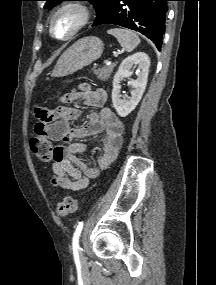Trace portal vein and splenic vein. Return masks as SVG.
Returning <instances> with one entry per match:
<instances>
[{
  "label": "portal vein and splenic vein",
  "instance_id": "18ae733b",
  "mask_svg": "<svg viewBox=\"0 0 216 285\" xmlns=\"http://www.w3.org/2000/svg\"><path fill=\"white\" fill-rule=\"evenodd\" d=\"M114 55L117 56V53H115ZM106 63L109 64L110 62H109V61H106Z\"/></svg>",
  "mask_w": 216,
  "mask_h": 285
}]
</instances>
